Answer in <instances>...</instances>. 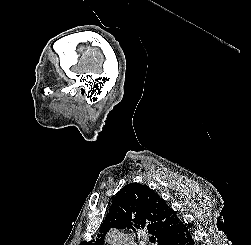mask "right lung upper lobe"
Masks as SVG:
<instances>
[{
  "label": "right lung upper lobe",
  "mask_w": 251,
  "mask_h": 245,
  "mask_svg": "<svg viewBox=\"0 0 251 245\" xmlns=\"http://www.w3.org/2000/svg\"><path fill=\"white\" fill-rule=\"evenodd\" d=\"M113 227L148 230L157 238L158 245H163L186 228L157 193L140 183L127 184L116 194L96 240L84 241L80 245H103L105 235Z\"/></svg>",
  "instance_id": "right-lung-upper-lobe-1"
}]
</instances>
